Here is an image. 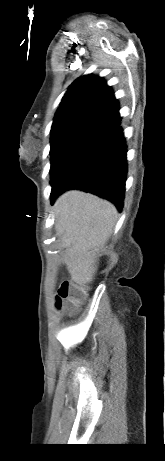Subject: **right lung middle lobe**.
<instances>
[{"mask_svg": "<svg viewBox=\"0 0 165 461\" xmlns=\"http://www.w3.org/2000/svg\"><path fill=\"white\" fill-rule=\"evenodd\" d=\"M107 123L93 116L81 115L53 121L51 128V184L86 141Z\"/></svg>", "mask_w": 165, "mask_h": 461, "instance_id": "dd1d6c3e", "label": "right lung middle lobe"}]
</instances>
